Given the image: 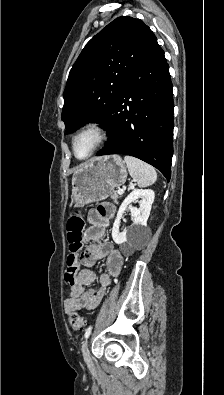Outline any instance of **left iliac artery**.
I'll use <instances>...</instances> for the list:
<instances>
[{"mask_svg": "<svg viewBox=\"0 0 224 395\" xmlns=\"http://www.w3.org/2000/svg\"><path fill=\"white\" fill-rule=\"evenodd\" d=\"M92 328H93V326L91 325V326H89V327L86 329L85 334H84V337H85L86 339L89 337V335H90V333H91V331H92Z\"/></svg>", "mask_w": 224, "mask_h": 395, "instance_id": "obj_1", "label": "left iliac artery"}]
</instances>
